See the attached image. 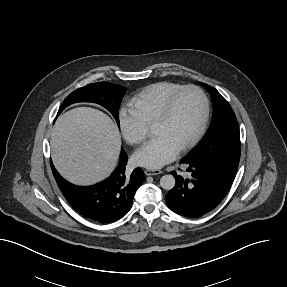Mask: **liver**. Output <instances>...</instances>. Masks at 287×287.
I'll use <instances>...</instances> for the list:
<instances>
[{
	"mask_svg": "<svg viewBox=\"0 0 287 287\" xmlns=\"http://www.w3.org/2000/svg\"><path fill=\"white\" fill-rule=\"evenodd\" d=\"M50 144L53 164L66 180L92 185L116 167L121 138L117 126L105 113L78 107L57 119Z\"/></svg>",
	"mask_w": 287,
	"mask_h": 287,
	"instance_id": "liver-1",
	"label": "liver"
}]
</instances>
